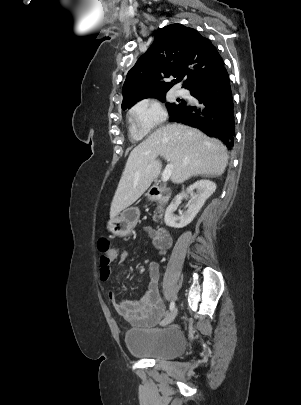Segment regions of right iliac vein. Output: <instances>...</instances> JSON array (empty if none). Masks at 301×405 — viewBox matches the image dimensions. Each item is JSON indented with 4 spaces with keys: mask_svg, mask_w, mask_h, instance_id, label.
Here are the masks:
<instances>
[{
    "mask_svg": "<svg viewBox=\"0 0 301 405\" xmlns=\"http://www.w3.org/2000/svg\"><path fill=\"white\" fill-rule=\"evenodd\" d=\"M177 315V308H174L161 322V325H168L173 322Z\"/></svg>",
    "mask_w": 301,
    "mask_h": 405,
    "instance_id": "right-iliac-vein-1",
    "label": "right iliac vein"
}]
</instances>
